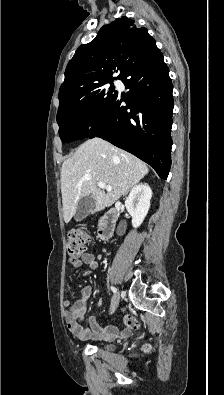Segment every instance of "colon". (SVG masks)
<instances>
[{"instance_id":"5ec220e1","label":"colon","mask_w":224,"mask_h":395,"mask_svg":"<svg viewBox=\"0 0 224 395\" xmlns=\"http://www.w3.org/2000/svg\"><path fill=\"white\" fill-rule=\"evenodd\" d=\"M88 242L89 236L85 231L75 229L69 232L65 246L69 260L72 263L79 261L80 257L84 254ZM126 324L131 328L138 327V321L131 316L126 318Z\"/></svg>"}]
</instances>
